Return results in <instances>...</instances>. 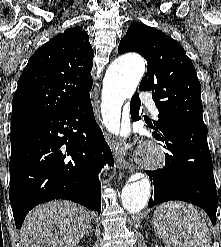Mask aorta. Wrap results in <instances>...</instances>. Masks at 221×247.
Returning a JSON list of instances; mask_svg holds the SVG:
<instances>
[{
	"instance_id": "762f6f07",
	"label": "aorta",
	"mask_w": 221,
	"mask_h": 247,
	"mask_svg": "<svg viewBox=\"0 0 221 247\" xmlns=\"http://www.w3.org/2000/svg\"><path fill=\"white\" fill-rule=\"evenodd\" d=\"M145 72V62L139 55L119 57L108 67L102 90L101 111L106 127L119 133L121 108L130 98ZM150 197V180L146 177L128 183L122 190L121 201L130 213L141 211Z\"/></svg>"
}]
</instances>
